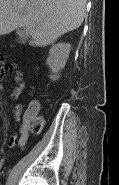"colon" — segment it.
<instances>
[{
  "mask_svg": "<svg viewBox=\"0 0 119 185\" xmlns=\"http://www.w3.org/2000/svg\"><path fill=\"white\" fill-rule=\"evenodd\" d=\"M44 119L38 115H29V131L38 134L42 131Z\"/></svg>",
  "mask_w": 119,
  "mask_h": 185,
  "instance_id": "1",
  "label": "colon"
}]
</instances>
